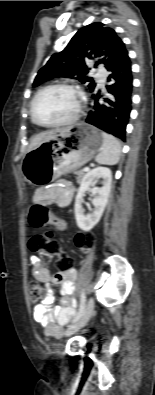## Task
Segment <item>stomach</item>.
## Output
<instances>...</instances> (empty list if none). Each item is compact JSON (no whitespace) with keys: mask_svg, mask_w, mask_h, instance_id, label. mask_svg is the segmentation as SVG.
I'll return each instance as SVG.
<instances>
[{"mask_svg":"<svg viewBox=\"0 0 155 395\" xmlns=\"http://www.w3.org/2000/svg\"><path fill=\"white\" fill-rule=\"evenodd\" d=\"M102 135L85 123L59 130L49 141L27 152L22 161L25 180L34 186L46 185L80 168L99 152Z\"/></svg>","mask_w":155,"mask_h":395,"instance_id":"0dacf381","label":"stomach"}]
</instances>
